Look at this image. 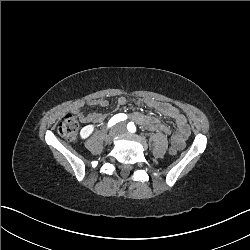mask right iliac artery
Instances as JSON below:
<instances>
[{
	"instance_id": "right-iliac-artery-1",
	"label": "right iliac artery",
	"mask_w": 250,
	"mask_h": 250,
	"mask_svg": "<svg viewBox=\"0 0 250 250\" xmlns=\"http://www.w3.org/2000/svg\"><path fill=\"white\" fill-rule=\"evenodd\" d=\"M125 119H127V115L123 114V113H119L114 115L108 122V127H112L113 125H115L116 123L120 122V121H124Z\"/></svg>"
}]
</instances>
